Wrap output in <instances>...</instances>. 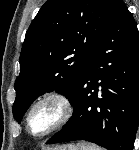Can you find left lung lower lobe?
I'll return each mask as SVG.
<instances>
[{"mask_svg": "<svg viewBox=\"0 0 139 150\" xmlns=\"http://www.w3.org/2000/svg\"><path fill=\"white\" fill-rule=\"evenodd\" d=\"M70 103L72 117L46 144L85 140L108 150L133 149L139 123V33L122 0L113 3Z\"/></svg>", "mask_w": 139, "mask_h": 150, "instance_id": "left-lung-lower-lobe-1", "label": "left lung lower lobe"}]
</instances>
